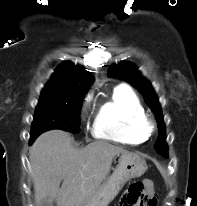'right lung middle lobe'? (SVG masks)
Returning a JSON list of instances; mask_svg holds the SVG:
<instances>
[{
    "label": "right lung middle lobe",
    "mask_w": 197,
    "mask_h": 206,
    "mask_svg": "<svg viewBox=\"0 0 197 206\" xmlns=\"http://www.w3.org/2000/svg\"><path fill=\"white\" fill-rule=\"evenodd\" d=\"M84 95L42 92L35 110L30 139H36L41 133L52 129L79 132V114Z\"/></svg>",
    "instance_id": "obj_1"
}]
</instances>
